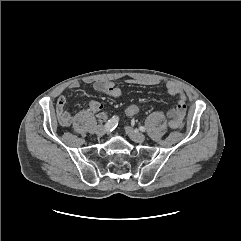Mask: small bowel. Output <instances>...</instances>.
Masks as SVG:
<instances>
[{
	"label": "small bowel",
	"instance_id": "small-bowel-1",
	"mask_svg": "<svg viewBox=\"0 0 241 241\" xmlns=\"http://www.w3.org/2000/svg\"><path fill=\"white\" fill-rule=\"evenodd\" d=\"M90 83V80L86 81ZM128 83L137 85H156L157 81L148 79H129ZM79 82L73 81L69 85V89H76L79 87ZM93 88L101 93L109 95L113 99H118L122 95L121 88L112 81L108 80H96L92 83ZM167 92L176 98V105L169 113V124L173 128H177L182 124V120L187 110V97L182 88H180L175 82L169 81L166 83ZM67 98L64 94H61L57 99L56 114L59 123L62 126H70L73 123V115L66 109ZM88 110L97 113L100 118H105L107 113L104 111L102 103L97 100H91L88 103Z\"/></svg>",
	"mask_w": 241,
	"mask_h": 241
}]
</instances>
